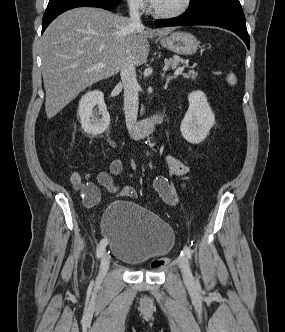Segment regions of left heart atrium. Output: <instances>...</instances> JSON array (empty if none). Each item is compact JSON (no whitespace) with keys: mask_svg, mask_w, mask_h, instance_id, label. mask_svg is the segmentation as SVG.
Segmentation results:
<instances>
[{"mask_svg":"<svg viewBox=\"0 0 285 332\" xmlns=\"http://www.w3.org/2000/svg\"><path fill=\"white\" fill-rule=\"evenodd\" d=\"M149 1L154 7H156L160 3L161 0H149Z\"/></svg>","mask_w":285,"mask_h":332,"instance_id":"obj_1","label":"left heart atrium"}]
</instances>
